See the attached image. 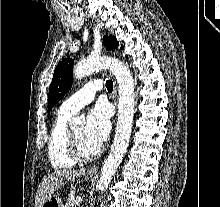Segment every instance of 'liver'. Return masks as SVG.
I'll return each mask as SVG.
<instances>
[{
  "label": "liver",
  "mask_w": 220,
  "mask_h": 207,
  "mask_svg": "<svg viewBox=\"0 0 220 207\" xmlns=\"http://www.w3.org/2000/svg\"><path fill=\"white\" fill-rule=\"evenodd\" d=\"M83 174H85L84 168L80 170H56L51 174L46 175L39 184L35 197V207H42L44 202H46L51 196H53L54 192L61 185H64L66 182L75 179Z\"/></svg>",
  "instance_id": "obj_1"
}]
</instances>
